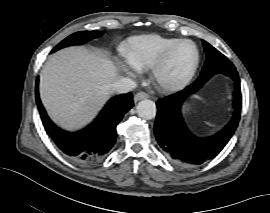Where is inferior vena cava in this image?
Masks as SVG:
<instances>
[{
    "label": "inferior vena cava",
    "mask_w": 270,
    "mask_h": 213,
    "mask_svg": "<svg viewBox=\"0 0 270 213\" xmlns=\"http://www.w3.org/2000/svg\"><path fill=\"white\" fill-rule=\"evenodd\" d=\"M136 87V82L127 77L120 78L112 84V89L119 94L130 92Z\"/></svg>",
    "instance_id": "602c4592"
}]
</instances>
